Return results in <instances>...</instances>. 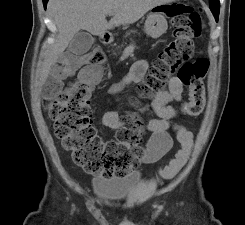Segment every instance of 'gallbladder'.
<instances>
[{
	"label": "gallbladder",
	"instance_id": "1",
	"mask_svg": "<svg viewBox=\"0 0 245 225\" xmlns=\"http://www.w3.org/2000/svg\"><path fill=\"white\" fill-rule=\"evenodd\" d=\"M94 43L93 36L86 32L80 31L75 34L69 43L68 51L75 55H83L87 53Z\"/></svg>",
	"mask_w": 245,
	"mask_h": 225
}]
</instances>
